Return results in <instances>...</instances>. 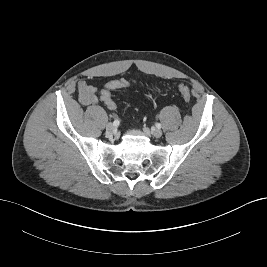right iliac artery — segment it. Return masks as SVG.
Listing matches in <instances>:
<instances>
[{
  "label": "right iliac artery",
  "instance_id": "82829eb1",
  "mask_svg": "<svg viewBox=\"0 0 267 267\" xmlns=\"http://www.w3.org/2000/svg\"><path fill=\"white\" fill-rule=\"evenodd\" d=\"M119 123H120L119 120L118 119H115L114 122H113V125L115 127H117L119 125Z\"/></svg>",
  "mask_w": 267,
  "mask_h": 267
}]
</instances>
